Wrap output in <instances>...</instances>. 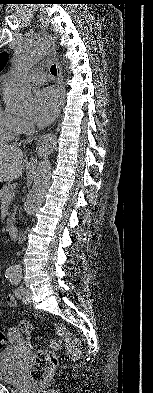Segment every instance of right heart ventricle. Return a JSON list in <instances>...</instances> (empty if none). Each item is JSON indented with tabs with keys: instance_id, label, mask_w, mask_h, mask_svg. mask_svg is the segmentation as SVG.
<instances>
[{
	"instance_id": "right-heart-ventricle-1",
	"label": "right heart ventricle",
	"mask_w": 153,
	"mask_h": 393,
	"mask_svg": "<svg viewBox=\"0 0 153 393\" xmlns=\"http://www.w3.org/2000/svg\"><path fill=\"white\" fill-rule=\"evenodd\" d=\"M20 133V119L3 110L0 104V143H7L17 138Z\"/></svg>"
}]
</instances>
